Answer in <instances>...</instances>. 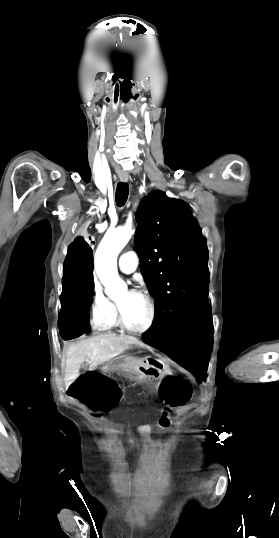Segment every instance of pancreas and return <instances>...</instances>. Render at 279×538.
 I'll use <instances>...</instances> for the list:
<instances>
[{
  "label": "pancreas",
  "instance_id": "pancreas-1",
  "mask_svg": "<svg viewBox=\"0 0 279 538\" xmlns=\"http://www.w3.org/2000/svg\"><path fill=\"white\" fill-rule=\"evenodd\" d=\"M124 356H120V358H116V360H123Z\"/></svg>",
  "mask_w": 279,
  "mask_h": 538
}]
</instances>
